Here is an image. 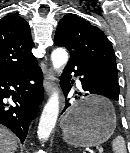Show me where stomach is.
I'll list each match as a JSON object with an SVG mask.
<instances>
[{
  "label": "stomach",
  "mask_w": 130,
  "mask_h": 153,
  "mask_svg": "<svg viewBox=\"0 0 130 153\" xmlns=\"http://www.w3.org/2000/svg\"><path fill=\"white\" fill-rule=\"evenodd\" d=\"M64 140L75 147L106 142L116 128V114L104 97L90 96L69 109L61 119Z\"/></svg>",
  "instance_id": "stomach-1"
}]
</instances>
